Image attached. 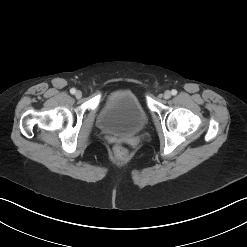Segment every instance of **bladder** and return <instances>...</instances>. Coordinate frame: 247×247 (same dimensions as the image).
I'll list each match as a JSON object with an SVG mask.
<instances>
[{
	"instance_id": "obj_1",
	"label": "bladder",
	"mask_w": 247,
	"mask_h": 247,
	"mask_svg": "<svg viewBox=\"0 0 247 247\" xmlns=\"http://www.w3.org/2000/svg\"><path fill=\"white\" fill-rule=\"evenodd\" d=\"M148 115L138 95L130 89L109 93L98 113L99 127L107 133L136 135L147 126Z\"/></svg>"
}]
</instances>
